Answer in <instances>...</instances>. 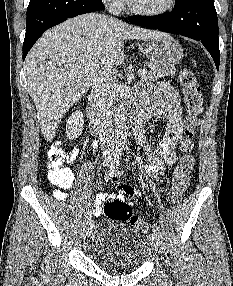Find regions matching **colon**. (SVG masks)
<instances>
[{"instance_id": "1", "label": "colon", "mask_w": 233, "mask_h": 286, "mask_svg": "<svg viewBox=\"0 0 233 286\" xmlns=\"http://www.w3.org/2000/svg\"><path fill=\"white\" fill-rule=\"evenodd\" d=\"M185 106V136L181 142L182 156L173 172L171 183V199L174 203L181 201L189 186L195 159L192 154L194 138L199 125V115L202 111V93L195 73L184 68L179 75ZM65 152L61 146H52L47 154V167L50 180L61 188L72 185L74 176L72 171L63 165ZM104 214L114 220L129 221L131 226L140 232H146V222L131 213L130 206L117 199H109L103 205Z\"/></svg>"}]
</instances>
